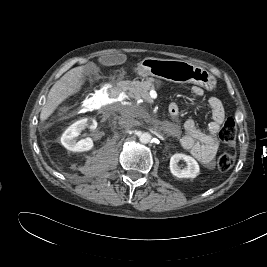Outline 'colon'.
I'll list each match as a JSON object with an SVG mask.
<instances>
[{"mask_svg": "<svg viewBox=\"0 0 267 267\" xmlns=\"http://www.w3.org/2000/svg\"><path fill=\"white\" fill-rule=\"evenodd\" d=\"M69 113V107L63 105L59 108V116H65ZM237 126L232 118H228L223 123L219 136L221 140L228 145H234L236 140ZM235 158L231 153L223 152L217 160V167L220 171L226 172L234 165Z\"/></svg>", "mask_w": 267, "mask_h": 267, "instance_id": "5ec220e1", "label": "colon"}]
</instances>
